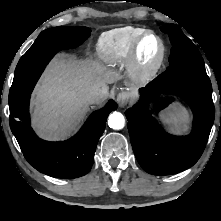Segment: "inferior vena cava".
<instances>
[{"label": "inferior vena cava", "instance_id": "obj_1", "mask_svg": "<svg viewBox=\"0 0 221 221\" xmlns=\"http://www.w3.org/2000/svg\"><path fill=\"white\" fill-rule=\"evenodd\" d=\"M104 95V89L100 86L90 87L85 94L86 101L90 104L97 103Z\"/></svg>", "mask_w": 221, "mask_h": 221}]
</instances>
